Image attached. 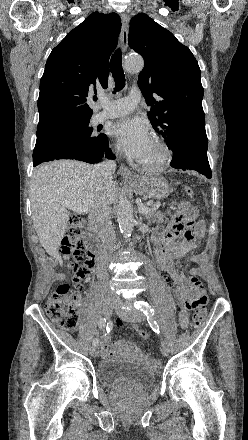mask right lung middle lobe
I'll return each mask as SVG.
<instances>
[{
	"mask_svg": "<svg viewBox=\"0 0 248 440\" xmlns=\"http://www.w3.org/2000/svg\"><path fill=\"white\" fill-rule=\"evenodd\" d=\"M89 120H90V118L77 124L76 135L78 137L84 138L86 140L96 141L99 137L98 136L97 137L91 136L93 128L89 126ZM49 131L50 130H48V131H38L37 130V137L40 135H43Z\"/></svg>",
	"mask_w": 248,
	"mask_h": 440,
	"instance_id": "obj_1",
	"label": "right lung middle lobe"
}]
</instances>
